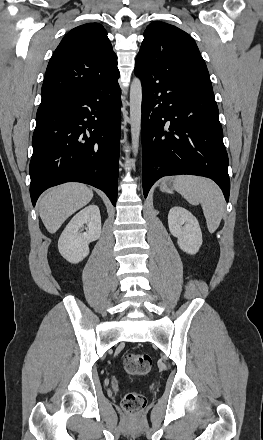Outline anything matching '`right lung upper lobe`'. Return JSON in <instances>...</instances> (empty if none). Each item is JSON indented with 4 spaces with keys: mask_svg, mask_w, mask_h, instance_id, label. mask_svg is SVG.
Returning a JSON list of instances; mask_svg holds the SVG:
<instances>
[{
    "mask_svg": "<svg viewBox=\"0 0 263 440\" xmlns=\"http://www.w3.org/2000/svg\"><path fill=\"white\" fill-rule=\"evenodd\" d=\"M118 77L117 57L103 26H78L66 34L48 63L39 107Z\"/></svg>",
    "mask_w": 263,
    "mask_h": 440,
    "instance_id": "obj_1",
    "label": "right lung upper lobe"
}]
</instances>
